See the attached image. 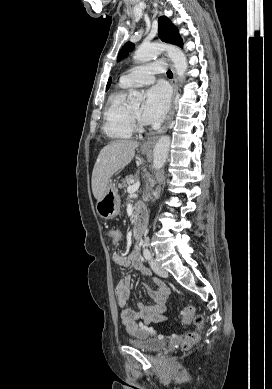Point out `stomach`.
I'll return each instance as SVG.
<instances>
[{
	"label": "stomach",
	"instance_id": "obj_1",
	"mask_svg": "<svg viewBox=\"0 0 272 389\" xmlns=\"http://www.w3.org/2000/svg\"><path fill=\"white\" fill-rule=\"evenodd\" d=\"M143 154L149 153L147 149H141ZM120 196L115 185L109 182L104 195L101 199L97 200L96 212L104 219H112L116 217L120 212Z\"/></svg>",
	"mask_w": 272,
	"mask_h": 389
}]
</instances>
